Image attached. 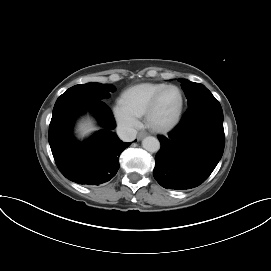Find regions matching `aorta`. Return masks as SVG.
Here are the masks:
<instances>
[{"label": "aorta", "instance_id": "762f6f07", "mask_svg": "<svg viewBox=\"0 0 271 271\" xmlns=\"http://www.w3.org/2000/svg\"><path fill=\"white\" fill-rule=\"evenodd\" d=\"M142 146L148 152H157L160 149V142L157 138L153 136H148L143 139Z\"/></svg>", "mask_w": 271, "mask_h": 271}]
</instances>
